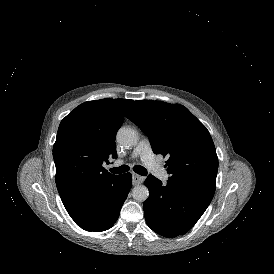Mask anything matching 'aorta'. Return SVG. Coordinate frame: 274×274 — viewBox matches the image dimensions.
<instances>
[{
	"label": "aorta",
	"mask_w": 274,
	"mask_h": 274,
	"mask_svg": "<svg viewBox=\"0 0 274 274\" xmlns=\"http://www.w3.org/2000/svg\"><path fill=\"white\" fill-rule=\"evenodd\" d=\"M117 141L124 147L135 146L138 142V133L130 127H122L117 132ZM132 197L139 202L147 200L149 190L145 185H137L132 190Z\"/></svg>",
	"instance_id": "aorta-1"
}]
</instances>
